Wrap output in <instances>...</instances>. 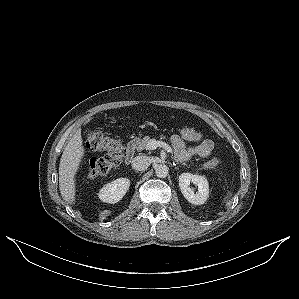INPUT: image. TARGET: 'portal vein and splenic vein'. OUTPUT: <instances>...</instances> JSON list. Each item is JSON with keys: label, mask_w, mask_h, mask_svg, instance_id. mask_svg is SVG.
Returning <instances> with one entry per match:
<instances>
[{"label": "portal vein and splenic vein", "mask_w": 299, "mask_h": 299, "mask_svg": "<svg viewBox=\"0 0 299 299\" xmlns=\"http://www.w3.org/2000/svg\"><path fill=\"white\" fill-rule=\"evenodd\" d=\"M158 147L164 148L168 152H172V148L170 145L166 144L165 142L162 141H157V140H152L148 144V149L149 150H155Z\"/></svg>", "instance_id": "1"}]
</instances>
